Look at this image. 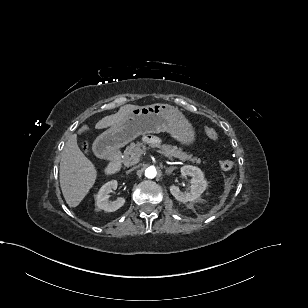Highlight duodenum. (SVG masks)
Segmentation results:
<instances>
[{
	"label": "duodenum",
	"instance_id": "duodenum-1",
	"mask_svg": "<svg viewBox=\"0 0 308 308\" xmlns=\"http://www.w3.org/2000/svg\"><path fill=\"white\" fill-rule=\"evenodd\" d=\"M97 152L99 156L108 160L106 167V173L108 175H114L118 172L121 164V150L118 147L108 144H101Z\"/></svg>",
	"mask_w": 308,
	"mask_h": 308
}]
</instances>
